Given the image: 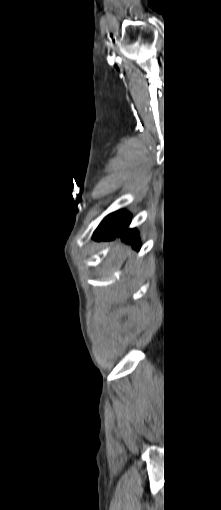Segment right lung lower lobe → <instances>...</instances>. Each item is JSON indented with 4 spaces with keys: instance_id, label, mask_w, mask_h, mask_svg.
<instances>
[{
    "instance_id": "right-lung-lower-lobe-1",
    "label": "right lung lower lobe",
    "mask_w": 221,
    "mask_h": 510,
    "mask_svg": "<svg viewBox=\"0 0 221 510\" xmlns=\"http://www.w3.org/2000/svg\"><path fill=\"white\" fill-rule=\"evenodd\" d=\"M130 218L128 213H124L120 217L109 215L96 229L93 239L96 241L112 240L120 236L124 241L132 244L136 250H139L140 244L138 242L137 231L135 229H128Z\"/></svg>"
}]
</instances>
